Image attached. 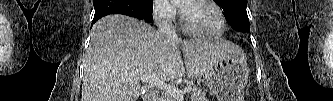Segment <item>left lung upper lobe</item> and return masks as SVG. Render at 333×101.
Here are the masks:
<instances>
[{
	"label": "left lung upper lobe",
	"instance_id": "obj_1",
	"mask_svg": "<svg viewBox=\"0 0 333 101\" xmlns=\"http://www.w3.org/2000/svg\"><path fill=\"white\" fill-rule=\"evenodd\" d=\"M225 13L231 27L237 31L249 32L250 23L246 11L247 0H214Z\"/></svg>",
	"mask_w": 333,
	"mask_h": 101
}]
</instances>
